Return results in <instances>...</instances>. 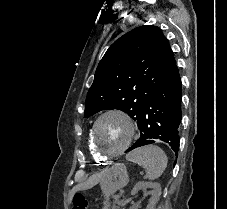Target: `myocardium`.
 <instances>
[{"instance_id": "1", "label": "myocardium", "mask_w": 227, "mask_h": 209, "mask_svg": "<svg viewBox=\"0 0 227 209\" xmlns=\"http://www.w3.org/2000/svg\"><path fill=\"white\" fill-rule=\"evenodd\" d=\"M110 114L119 115L120 117H122L123 119H125L127 121V123L130 126V136H129V139L127 140V142H126V145L122 146L120 149L113 151V152H110V153H103L99 149L97 142H96V136H95L96 128H97L98 123L105 116L110 115ZM135 135H136V126H135L132 118L130 117V115L128 113H126L125 111H123L121 109H117V108H111V109H108V110L104 111L103 113H101L95 119V121L93 122L91 129H90V138H91L92 145H93L97 155L103 160L115 158V157L121 155L125 151L127 146L131 143V141H132V139L134 138Z\"/></svg>"}]
</instances>
